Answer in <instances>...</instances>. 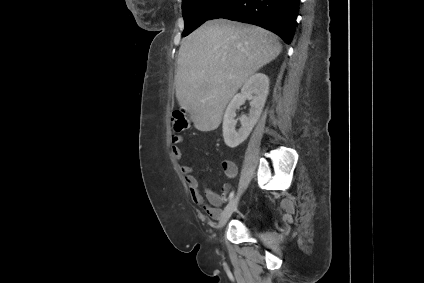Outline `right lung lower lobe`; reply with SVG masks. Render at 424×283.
I'll return each instance as SVG.
<instances>
[{
  "label": "right lung lower lobe",
  "mask_w": 424,
  "mask_h": 283,
  "mask_svg": "<svg viewBox=\"0 0 424 283\" xmlns=\"http://www.w3.org/2000/svg\"><path fill=\"white\" fill-rule=\"evenodd\" d=\"M300 0H228L209 20L224 18L254 24L279 35L290 44Z\"/></svg>",
  "instance_id": "1"
}]
</instances>
